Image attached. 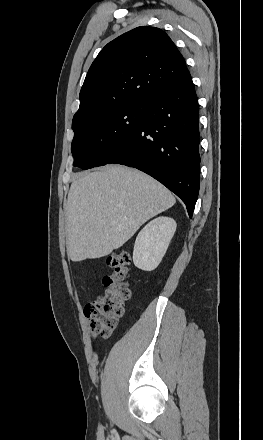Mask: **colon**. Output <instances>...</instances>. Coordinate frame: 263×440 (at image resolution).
Listing matches in <instances>:
<instances>
[{"mask_svg":"<svg viewBox=\"0 0 263 440\" xmlns=\"http://www.w3.org/2000/svg\"><path fill=\"white\" fill-rule=\"evenodd\" d=\"M130 262L125 252H114L108 257L113 272L103 277L102 292L85 308L89 329L95 336L109 338L124 313V303L130 297L126 281Z\"/></svg>","mask_w":263,"mask_h":440,"instance_id":"colon-1","label":"colon"}]
</instances>
